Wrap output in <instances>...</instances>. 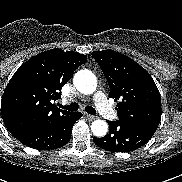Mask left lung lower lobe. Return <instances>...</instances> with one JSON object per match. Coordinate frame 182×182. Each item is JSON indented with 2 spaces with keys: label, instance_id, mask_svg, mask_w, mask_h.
I'll list each match as a JSON object with an SVG mask.
<instances>
[{
  "label": "left lung lower lobe",
  "instance_id": "1",
  "mask_svg": "<svg viewBox=\"0 0 182 182\" xmlns=\"http://www.w3.org/2000/svg\"><path fill=\"white\" fill-rule=\"evenodd\" d=\"M109 133L102 138H93L94 143L113 152H130L145 145L157 128L144 123L109 121Z\"/></svg>",
  "mask_w": 182,
  "mask_h": 182
}]
</instances>
